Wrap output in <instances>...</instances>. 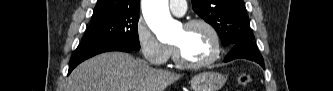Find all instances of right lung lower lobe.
<instances>
[{
	"label": "right lung lower lobe",
	"mask_w": 333,
	"mask_h": 91,
	"mask_svg": "<svg viewBox=\"0 0 333 91\" xmlns=\"http://www.w3.org/2000/svg\"><path fill=\"white\" fill-rule=\"evenodd\" d=\"M108 51L131 52L134 49L118 43H100V44H79L76 51L70 59L68 74L82 61L97 54Z\"/></svg>",
	"instance_id": "1"
}]
</instances>
